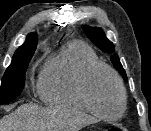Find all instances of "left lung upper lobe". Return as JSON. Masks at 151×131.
<instances>
[{"label":"left lung upper lobe","instance_id":"1","mask_svg":"<svg viewBox=\"0 0 151 131\" xmlns=\"http://www.w3.org/2000/svg\"><path fill=\"white\" fill-rule=\"evenodd\" d=\"M83 31L87 37L102 51L106 53H113L115 51L113 43L106 38L104 32L100 28L85 25L83 26ZM111 61L116 70H118L120 75L127 81L126 72L119 61L118 55L113 54L111 56Z\"/></svg>","mask_w":151,"mask_h":131}]
</instances>
